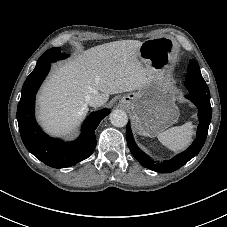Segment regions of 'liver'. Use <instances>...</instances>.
<instances>
[{
    "label": "liver",
    "mask_w": 227,
    "mask_h": 227,
    "mask_svg": "<svg viewBox=\"0 0 227 227\" xmlns=\"http://www.w3.org/2000/svg\"><path fill=\"white\" fill-rule=\"evenodd\" d=\"M142 42L120 40L92 47L55 69L37 98L38 120L53 135L72 132L88 113L86 99L139 90L153 77L139 61Z\"/></svg>",
    "instance_id": "1"
}]
</instances>
